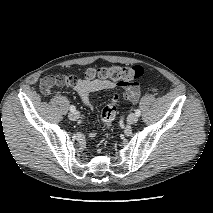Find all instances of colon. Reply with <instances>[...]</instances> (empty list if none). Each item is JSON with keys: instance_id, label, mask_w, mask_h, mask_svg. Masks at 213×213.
<instances>
[{"instance_id": "5ec220e1", "label": "colon", "mask_w": 213, "mask_h": 213, "mask_svg": "<svg viewBox=\"0 0 213 213\" xmlns=\"http://www.w3.org/2000/svg\"><path fill=\"white\" fill-rule=\"evenodd\" d=\"M88 78H97L102 80H110L120 86L126 88L124 97L131 96L130 89L137 87L138 80L143 75V68L141 66H119L112 65L108 67H100L90 69L86 73ZM75 77L73 75H58L55 80L59 83H71ZM155 90V88H154ZM118 95L115 94L111 101L102 109L101 120L107 128H110L116 115V103Z\"/></svg>"}]
</instances>
